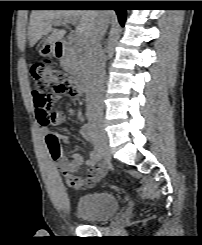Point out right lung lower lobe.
<instances>
[{"label":"right lung lower lobe","instance_id":"right-lung-lower-lobe-1","mask_svg":"<svg viewBox=\"0 0 202 245\" xmlns=\"http://www.w3.org/2000/svg\"><path fill=\"white\" fill-rule=\"evenodd\" d=\"M87 3V6L114 7V10L118 15L120 24L124 26L126 20V9L122 8V1H91Z\"/></svg>","mask_w":202,"mask_h":245}]
</instances>
